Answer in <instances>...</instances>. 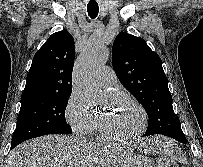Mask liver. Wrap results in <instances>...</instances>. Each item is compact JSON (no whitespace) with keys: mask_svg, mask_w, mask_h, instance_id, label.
I'll use <instances>...</instances> for the list:
<instances>
[{"mask_svg":"<svg viewBox=\"0 0 203 167\" xmlns=\"http://www.w3.org/2000/svg\"><path fill=\"white\" fill-rule=\"evenodd\" d=\"M130 157L120 147L103 146L78 137L48 135L13 149L6 167H120Z\"/></svg>","mask_w":203,"mask_h":167,"instance_id":"liver-1","label":"liver"}]
</instances>
